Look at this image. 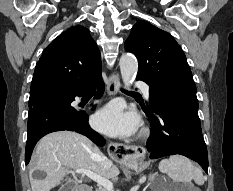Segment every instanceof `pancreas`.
<instances>
[{
  "instance_id": "1",
  "label": "pancreas",
  "mask_w": 233,
  "mask_h": 191,
  "mask_svg": "<svg viewBox=\"0 0 233 191\" xmlns=\"http://www.w3.org/2000/svg\"><path fill=\"white\" fill-rule=\"evenodd\" d=\"M97 191H107L105 188H99Z\"/></svg>"
}]
</instances>
